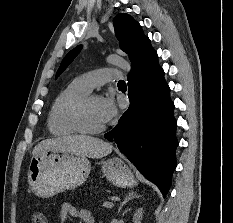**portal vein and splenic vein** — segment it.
Returning a JSON list of instances; mask_svg holds the SVG:
<instances>
[{
  "instance_id": "obj_1",
  "label": "portal vein and splenic vein",
  "mask_w": 233,
  "mask_h": 223,
  "mask_svg": "<svg viewBox=\"0 0 233 223\" xmlns=\"http://www.w3.org/2000/svg\"><path fill=\"white\" fill-rule=\"evenodd\" d=\"M103 204L105 205V207H113L112 201H105V203Z\"/></svg>"
}]
</instances>
